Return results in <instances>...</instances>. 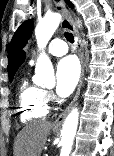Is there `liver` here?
Instances as JSON below:
<instances>
[{"label": "liver", "instance_id": "6515ba94", "mask_svg": "<svg viewBox=\"0 0 114 156\" xmlns=\"http://www.w3.org/2000/svg\"><path fill=\"white\" fill-rule=\"evenodd\" d=\"M51 128L45 120L27 124L15 139L14 156H40Z\"/></svg>", "mask_w": 114, "mask_h": 156}]
</instances>
